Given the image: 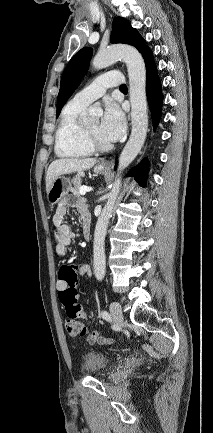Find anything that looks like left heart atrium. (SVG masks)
Instances as JSON below:
<instances>
[{
	"instance_id": "1",
	"label": "left heart atrium",
	"mask_w": 213,
	"mask_h": 433,
	"mask_svg": "<svg viewBox=\"0 0 213 433\" xmlns=\"http://www.w3.org/2000/svg\"><path fill=\"white\" fill-rule=\"evenodd\" d=\"M103 136L109 141L118 140L126 128L125 118L120 107L113 101L105 103L104 114L100 123Z\"/></svg>"
}]
</instances>
